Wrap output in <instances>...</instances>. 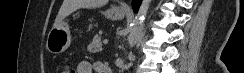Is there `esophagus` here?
Masks as SVG:
<instances>
[{
  "instance_id": "obj_1",
  "label": "esophagus",
  "mask_w": 244,
  "mask_h": 73,
  "mask_svg": "<svg viewBox=\"0 0 244 73\" xmlns=\"http://www.w3.org/2000/svg\"><path fill=\"white\" fill-rule=\"evenodd\" d=\"M121 8L124 9V10H128V6H127L126 4H123V5L121 6Z\"/></svg>"
}]
</instances>
